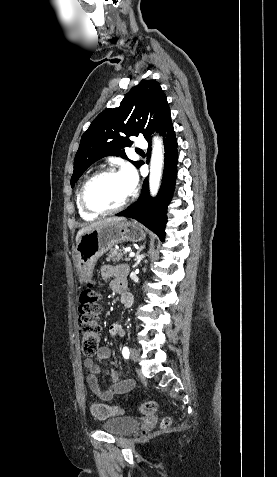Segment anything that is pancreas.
Wrapping results in <instances>:
<instances>
[{
  "mask_svg": "<svg viewBox=\"0 0 277 477\" xmlns=\"http://www.w3.org/2000/svg\"><path fill=\"white\" fill-rule=\"evenodd\" d=\"M126 252L122 250H117V249H111L109 254L107 255V260H112L113 262H118L120 260H125L129 261L128 257H125L123 259V256Z\"/></svg>",
  "mask_w": 277,
  "mask_h": 477,
  "instance_id": "pancreas-1",
  "label": "pancreas"
}]
</instances>
